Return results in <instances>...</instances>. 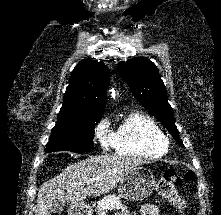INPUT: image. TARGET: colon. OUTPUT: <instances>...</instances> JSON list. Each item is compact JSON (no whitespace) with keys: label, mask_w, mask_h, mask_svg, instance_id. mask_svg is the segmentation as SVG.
Wrapping results in <instances>:
<instances>
[{"label":"colon","mask_w":221,"mask_h":215,"mask_svg":"<svg viewBox=\"0 0 221 215\" xmlns=\"http://www.w3.org/2000/svg\"><path fill=\"white\" fill-rule=\"evenodd\" d=\"M193 178L194 174L191 171L179 174L171 169L166 170L157 184V192L182 214L186 208V200L179 194L177 188L184 182L191 181Z\"/></svg>","instance_id":"colon-1"}]
</instances>
